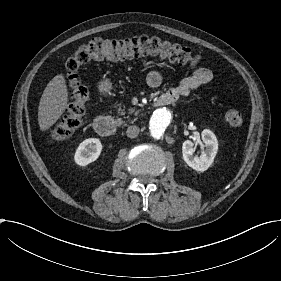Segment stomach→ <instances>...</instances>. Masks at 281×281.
Returning <instances> with one entry per match:
<instances>
[{
	"label": "stomach",
	"instance_id": "obj_1",
	"mask_svg": "<svg viewBox=\"0 0 281 281\" xmlns=\"http://www.w3.org/2000/svg\"><path fill=\"white\" fill-rule=\"evenodd\" d=\"M101 91L109 93L113 88V83L110 78H104L100 81Z\"/></svg>",
	"mask_w": 281,
	"mask_h": 281
}]
</instances>
